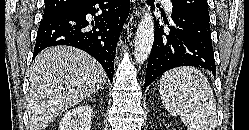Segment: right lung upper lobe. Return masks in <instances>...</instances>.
I'll return each instance as SVG.
<instances>
[{
  "label": "right lung upper lobe",
  "mask_w": 249,
  "mask_h": 130,
  "mask_svg": "<svg viewBox=\"0 0 249 130\" xmlns=\"http://www.w3.org/2000/svg\"><path fill=\"white\" fill-rule=\"evenodd\" d=\"M85 0H45L46 13H67L74 10Z\"/></svg>",
  "instance_id": "cb5924a9"
}]
</instances>
